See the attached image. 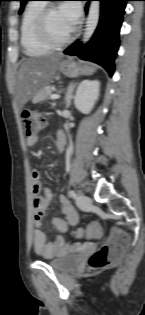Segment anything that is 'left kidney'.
Masks as SVG:
<instances>
[{
  "label": "left kidney",
  "instance_id": "obj_1",
  "mask_svg": "<svg viewBox=\"0 0 145 315\" xmlns=\"http://www.w3.org/2000/svg\"><path fill=\"white\" fill-rule=\"evenodd\" d=\"M100 92V82L98 80L82 81L74 97L75 107L83 114H88L98 100Z\"/></svg>",
  "mask_w": 145,
  "mask_h": 315
}]
</instances>
